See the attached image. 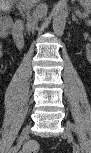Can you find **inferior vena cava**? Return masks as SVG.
<instances>
[{
    "instance_id": "inferior-vena-cava-1",
    "label": "inferior vena cava",
    "mask_w": 91,
    "mask_h": 153,
    "mask_svg": "<svg viewBox=\"0 0 91 153\" xmlns=\"http://www.w3.org/2000/svg\"><path fill=\"white\" fill-rule=\"evenodd\" d=\"M35 3H37V0L35 1ZM47 13V5L46 4H39L38 6H36V8L34 9L32 15L29 17V20L27 22V28L28 30H34V28L36 27L39 19H41L44 15H46Z\"/></svg>"
}]
</instances>
